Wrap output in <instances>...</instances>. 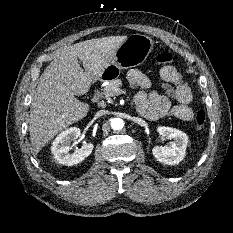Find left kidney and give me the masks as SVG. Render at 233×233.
<instances>
[{
	"label": "left kidney",
	"instance_id": "5707ae66",
	"mask_svg": "<svg viewBox=\"0 0 233 233\" xmlns=\"http://www.w3.org/2000/svg\"><path fill=\"white\" fill-rule=\"evenodd\" d=\"M157 131L163 138L172 139V142L168 146L153 147V156L163 164H179L185 157L188 136L186 133L171 127H158Z\"/></svg>",
	"mask_w": 233,
	"mask_h": 233
}]
</instances>
